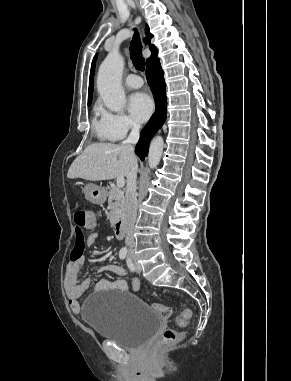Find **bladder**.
<instances>
[{
  "label": "bladder",
  "mask_w": 291,
  "mask_h": 381,
  "mask_svg": "<svg viewBox=\"0 0 291 381\" xmlns=\"http://www.w3.org/2000/svg\"><path fill=\"white\" fill-rule=\"evenodd\" d=\"M82 320L100 338L138 350L161 328L163 320L143 299L129 292L108 297L95 293L85 301Z\"/></svg>",
  "instance_id": "bladder-1"
}]
</instances>
